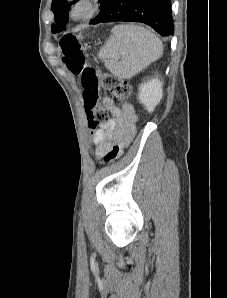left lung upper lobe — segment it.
I'll use <instances>...</instances> for the list:
<instances>
[{"label":"left lung upper lobe","mask_w":227,"mask_h":298,"mask_svg":"<svg viewBox=\"0 0 227 298\" xmlns=\"http://www.w3.org/2000/svg\"><path fill=\"white\" fill-rule=\"evenodd\" d=\"M77 1L78 0H52L51 8L55 16V24L52 25L53 33L65 30L71 5ZM99 2H101V11L95 19L90 21V24H97L99 22V18L103 14L108 0H99Z\"/></svg>","instance_id":"1"}]
</instances>
